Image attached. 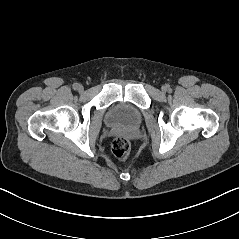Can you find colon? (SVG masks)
<instances>
[{
    "label": "colon",
    "instance_id": "5ec220e1",
    "mask_svg": "<svg viewBox=\"0 0 239 239\" xmlns=\"http://www.w3.org/2000/svg\"><path fill=\"white\" fill-rule=\"evenodd\" d=\"M131 145L128 139L124 137H117L113 140L111 150L113 155L119 159L124 160L129 155Z\"/></svg>",
    "mask_w": 239,
    "mask_h": 239
}]
</instances>
